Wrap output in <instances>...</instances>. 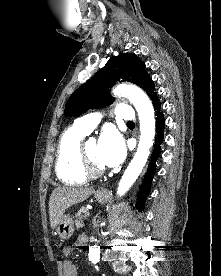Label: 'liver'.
<instances>
[{"label": "liver", "mask_w": 221, "mask_h": 276, "mask_svg": "<svg viewBox=\"0 0 221 276\" xmlns=\"http://www.w3.org/2000/svg\"><path fill=\"white\" fill-rule=\"evenodd\" d=\"M94 193L89 187H57L53 190L49 200V218L52 229H55L65 211L77 203L83 202Z\"/></svg>", "instance_id": "obj_1"}]
</instances>
